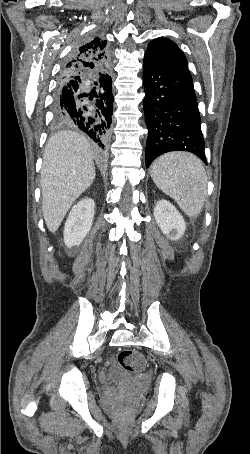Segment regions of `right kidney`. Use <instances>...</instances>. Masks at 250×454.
<instances>
[{
  "mask_svg": "<svg viewBox=\"0 0 250 454\" xmlns=\"http://www.w3.org/2000/svg\"><path fill=\"white\" fill-rule=\"evenodd\" d=\"M95 203L91 198L80 200L71 209L64 227L67 247L79 246L89 233L94 219Z\"/></svg>",
  "mask_w": 250,
  "mask_h": 454,
  "instance_id": "ca27d5eb",
  "label": "right kidney"
}]
</instances>
